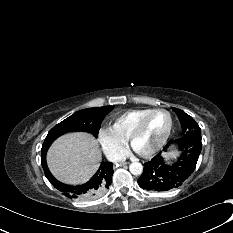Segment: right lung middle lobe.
Listing matches in <instances>:
<instances>
[{
	"label": "right lung middle lobe",
	"mask_w": 233,
	"mask_h": 233,
	"mask_svg": "<svg viewBox=\"0 0 233 233\" xmlns=\"http://www.w3.org/2000/svg\"><path fill=\"white\" fill-rule=\"evenodd\" d=\"M113 109L114 106L89 108L69 116L48 132L42 145L41 153L47 152L55 139L68 132L85 131L97 137L103 119Z\"/></svg>",
	"instance_id": "dd1d6c3e"
}]
</instances>
